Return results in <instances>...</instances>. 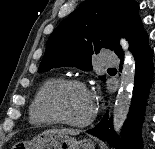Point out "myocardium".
Segmentation results:
<instances>
[{"instance_id": "myocardium-1", "label": "myocardium", "mask_w": 155, "mask_h": 149, "mask_svg": "<svg viewBox=\"0 0 155 149\" xmlns=\"http://www.w3.org/2000/svg\"><path fill=\"white\" fill-rule=\"evenodd\" d=\"M75 86L83 89L84 91H87V87L85 83L79 79L74 78H63L58 79L54 83H52L48 89L46 90L44 94V108L47 111V113L55 119L56 122L61 123L63 125L72 126V127H85L89 124H91L96 116V110L95 107H93V110L91 114L82 121H72L67 119L59 110L57 103H56V95L57 93L65 88Z\"/></svg>"}]
</instances>
